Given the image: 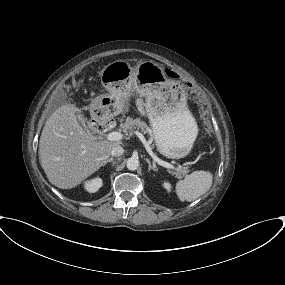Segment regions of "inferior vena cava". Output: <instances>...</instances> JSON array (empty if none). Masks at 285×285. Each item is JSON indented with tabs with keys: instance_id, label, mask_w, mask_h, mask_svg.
Returning a JSON list of instances; mask_svg holds the SVG:
<instances>
[{
	"instance_id": "602c4592",
	"label": "inferior vena cava",
	"mask_w": 285,
	"mask_h": 285,
	"mask_svg": "<svg viewBox=\"0 0 285 285\" xmlns=\"http://www.w3.org/2000/svg\"><path fill=\"white\" fill-rule=\"evenodd\" d=\"M124 153V149L121 146H115L113 147V149L111 150V155L113 157H118L121 156Z\"/></svg>"
}]
</instances>
